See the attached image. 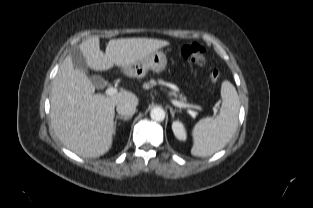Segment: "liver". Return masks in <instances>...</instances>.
Here are the masks:
<instances>
[{
  "label": "liver",
  "instance_id": "6515ba94",
  "mask_svg": "<svg viewBox=\"0 0 313 208\" xmlns=\"http://www.w3.org/2000/svg\"><path fill=\"white\" fill-rule=\"evenodd\" d=\"M167 45L168 41L152 38L111 39L103 53L99 38L92 37L83 41L79 48L91 69L106 71L114 65L125 68ZM126 101L135 105L139 102L129 91H120L114 96L95 94L92 81L84 72L75 69L68 55L53 80L51 124L69 150L85 158H97L111 148L115 106Z\"/></svg>",
  "mask_w": 313,
  "mask_h": 208
}]
</instances>
